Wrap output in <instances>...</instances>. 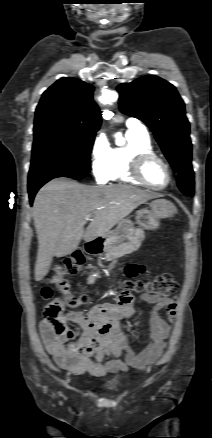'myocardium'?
Here are the masks:
<instances>
[{
    "instance_id": "obj_1",
    "label": "myocardium",
    "mask_w": 212,
    "mask_h": 438,
    "mask_svg": "<svg viewBox=\"0 0 212 438\" xmlns=\"http://www.w3.org/2000/svg\"><path fill=\"white\" fill-rule=\"evenodd\" d=\"M151 160H157L164 166L166 173H167V177H168L165 185L158 187V186H155V185L149 183L145 179L143 171H144L146 164ZM129 171H130L131 176L137 182H139L141 185L148 187L150 189H153V190L167 189L172 182V171H171L170 165L163 157L157 155L154 152H142V153H138V154L134 155L132 158L131 164H130Z\"/></svg>"
}]
</instances>
